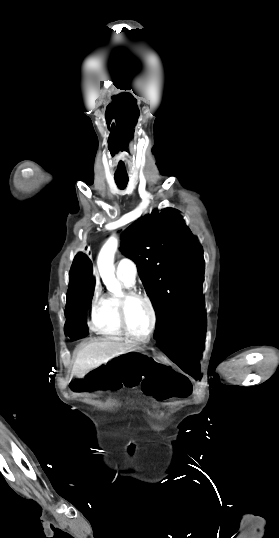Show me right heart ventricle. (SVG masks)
Instances as JSON below:
<instances>
[{
    "label": "right heart ventricle",
    "mask_w": 279,
    "mask_h": 538,
    "mask_svg": "<svg viewBox=\"0 0 279 538\" xmlns=\"http://www.w3.org/2000/svg\"><path fill=\"white\" fill-rule=\"evenodd\" d=\"M117 279L122 288L129 289L134 283H129L122 276ZM119 294L108 293L95 300L92 306L91 327L94 331L110 336L125 335L118 320Z\"/></svg>",
    "instance_id": "obj_1"
}]
</instances>
